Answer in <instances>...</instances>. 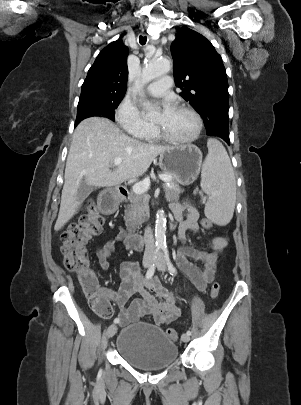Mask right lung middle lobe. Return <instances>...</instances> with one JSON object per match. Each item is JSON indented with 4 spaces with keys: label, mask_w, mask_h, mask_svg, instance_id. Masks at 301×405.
<instances>
[{
    "label": "right lung middle lobe",
    "mask_w": 301,
    "mask_h": 405,
    "mask_svg": "<svg viewBox=\"0 0 301 405\" xmlns=\"http://www.w3.org/2000/svg\"><path fill=\"white\" fill-rule=\"evenodd\" d=\"M124 96L89 94L80 96L75 126L83 119L92 116L114 118V110L118 107Z\"/></svg>",
    "instance_id": "1"
}]
</instances>
